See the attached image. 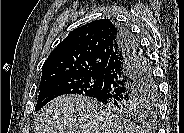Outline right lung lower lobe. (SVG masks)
<instances>
[{"label": "right lung lower lobe", "mask_w": 184, "mask_h": 133, "mask_svg": "<svg viewBox=\"0 0 184 133\" xmlns=\"http://www.w3.org/2000/svg\"><path fill=\"white\" fill-rule=\"evenodd\" d=\"M120 29L117 50L113 52L103 76V86L96 98L105 105H128L147 97L152 84L148 56L126 28Z\"/></svg>", "instance_id": "obj_1"}]
</instances>
